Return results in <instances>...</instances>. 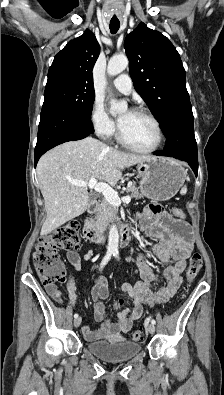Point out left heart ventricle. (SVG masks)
Returning a JSON list of instances; mask_svg holds the SVG:
<instances>
[{
  "label": "left heart ventricle",
  "mask_w": 224,
  "mask_h": 395,
  "mask_svg": "<svg viewBox=\"0 0 224 395\" xmlns=\"http://www.w3.org/2000/svg\"><path fill=\"white\" fill-rule=\"evenodd\" d=\"M120 130L124 138L131 144L141 147H152L157 140L154 124L145 116L124 111L119 116Z\"/></svg>",
  "instance_id": "obj_1"
}]
</instances>
